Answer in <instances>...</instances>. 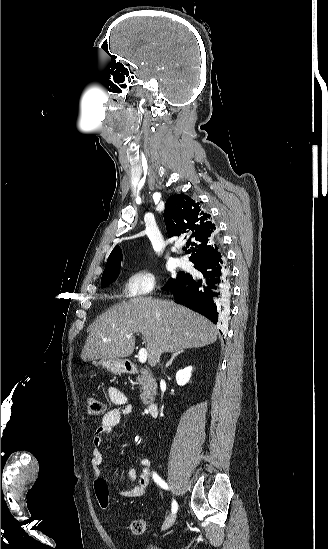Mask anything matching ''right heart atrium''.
I'll return each mask as SVG.
<instances>
[{"instance_id": "1", "label": "right heart atrium", "mask_w": 328, "mask_h": 549, "mask_svg": "<svg viewBox=\"0 0 328 549\" xmlns=\"http://www.w3.org/2000/svg\"><path fill=\"white\" fill-rule=\"evenodd\" d=\"M148 239L151 238L148 237ZM155 287L156 276L152 263L144 262L129 268L122 278L124 303H142Z\"/></svg>"}]
</instances>
